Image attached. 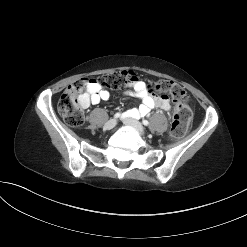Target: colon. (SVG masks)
Here are the masks:
<instances>
[{"label":"colon","mask_w":247,"mask_h":247,"mask_svg":"<svg viewBox=\"0 0 247 247\" xmlns=\"http://www.w3.org/2000/svg\"><path fill=\"white\" fill-rule=\"evenodd\" d=\"M133 76L131 71H118L101 76L95 80L100 86L118 90L123 88ZM85 81L79 80L67 87L58 102V112L71 127H80L84 123L86 96ZM152 90L156 93L169 94L176 104L171 123L170 135L181 138L187 132L191 121V110L187 105V92L177 83L170 80L157 81Z\"/></svg>","instance_id":"colon-1"}]
</instances>
